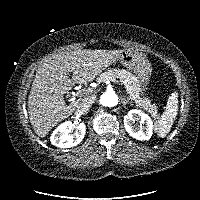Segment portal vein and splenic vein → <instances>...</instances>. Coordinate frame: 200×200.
Masks as SVG:
<instances>
[{"mask_svg": "<svg viewBox=\"0 0 200 200\" xmlns=\"http://www.w3.org/2000/svg\"><path fill=\"white\" fill-rule=\"evenodd\" d=\"M112 82H115L117 84H119V82L116 79H110Z\"/></svg>", "mask_w": 200, "mask_h": 200, "instance_id": "obj_1", "label": "portal vein and splenic vein"}]
</instances>
